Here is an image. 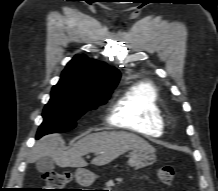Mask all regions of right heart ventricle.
Wrapping results in <instances>:
<instances>
[{"label":"right heart ventricle","mask_w":218,"mask_h":191,"mask_svg":"<svg viewBox=\"0 0 218 191\" xmlns=\"http://www.w3.org/2000/svg\"><path fill=\"white\" fill-rule=\"evenodd\" d=\"M110 122L144 136L162 134L165 116L156 87L140 82L129 88L114 104Z\"/></svg>","instance_id":"right-heart-ventricle-1"}]
</instances>
